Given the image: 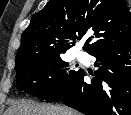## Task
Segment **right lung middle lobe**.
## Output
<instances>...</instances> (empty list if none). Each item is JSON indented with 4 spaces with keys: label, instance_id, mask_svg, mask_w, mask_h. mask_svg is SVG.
<instances>
[{
    "label": "right lung middle lobe",
    "instance_id": "obj_1",
    "mask_svg": "<svg viewBox=\"0 0 131 115\" xmlns=\"http://www.w3.org/2000/svg\"><path fill=\"white\" fill-rule=\"evenodd\" d=\"M65 52L50 53L42 57H31L15 68L17 87L41 100L61 97L66 88L80 74L63 61Z\"/></svg>",
    "mask_w": 131,
    "mask_h": 115
}]
</instances>
